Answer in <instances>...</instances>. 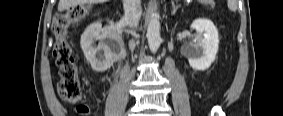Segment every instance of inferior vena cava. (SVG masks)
<instances>
[{"instance_id": "1", "label": "inferior vena cava", "mask_w": 283, "mask_h": 116, "mask_svg": "<svg viewBox=\"0 0 283 116\" xmlns=\"http://www.w3.org/2000/svg\"><path fill=\"white\" fill-rule=\"evenodd\" d=\"M124 22L131 28L136 27L141 12L140 0H124Z\"/></svg>"}]
</instances>
